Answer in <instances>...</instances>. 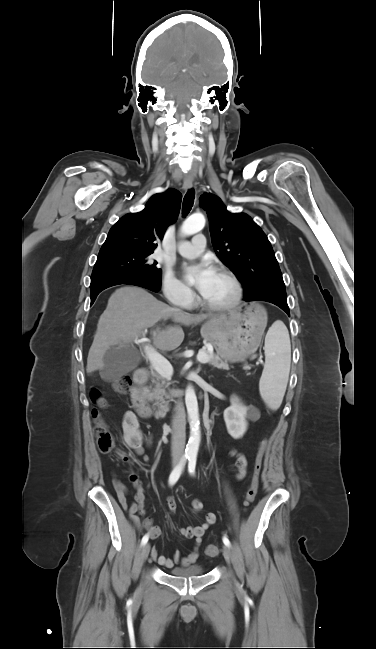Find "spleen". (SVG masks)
<instances>
[{"instance_id":"1","label":"spleen","mask_w":376,"mask_h":649,"mask_svg":"<svg viewBox=\"0 0 376 649\" xmlns=\"http://www.w3.org/2000/svg\"><path fill=\"white\" fill-rule=\"evenodd\" d=\"M265 365L259 382L262 399L272 410L280 407L290 372L291 344L287 328L274 323L265 337Z\"/></svg>"}]
</instances>
